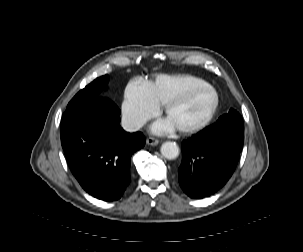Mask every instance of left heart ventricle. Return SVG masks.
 <instances>
[{
	"mask_svg": "<svg viewBox=\"0 0 303 252\" xmlns=\"http://www.w3.org/2000/svg\"><path fill=\"white\" fill-rule=\"evenodd\" d=\"M211 102V92L208 89H200L185 103L175 106L167 115V119L174 127L196 124L205 117Z\"/></svg>",
	"mask_w": 303,
	"mask_h": 252,
	"instance_id": "b2bd125f",
	"label": "left heart ventricle"
}]
</instances>
